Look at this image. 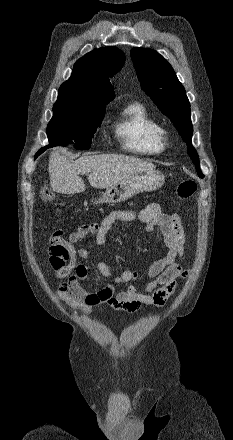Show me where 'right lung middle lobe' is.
I'll list each match as a JSON object with an SVG mask.
<instances>
[{
  "instance_id": "right-lung-middle-lobe-1",
  "label": "right lung middle lobe",
  "mask_w": 233,
  "mask_h": 440,
  "mask_svg": "<svg viewBox=\"0 0 233 440\" xmlns=\"http://www.w3.org/2000/svg\"><path fill=\"white\" fill-rule=\"evenodd\" d=\"M104 113L105 105L55 103L47 127V147L74 144L76 149H89Z\"/></svg>"
}]
</instances>
